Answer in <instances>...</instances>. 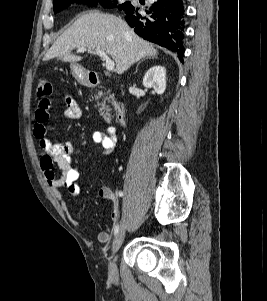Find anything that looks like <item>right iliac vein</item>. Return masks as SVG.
<instances>
[{
  "label": "right iliac vein",
  "instance_id": "right-iliac-vein-1",
  "mask_svg": "<svg viewBox=\"0 0 267 301\" xmlns=\"http://www.w3.org/2000/svg\"><path fill=\"white\" fill-rule=\"evenodd\" d=\"M125 224L124 221L121 222V225L119 227V231L115 237V240L113 242L112 245V255L110 257L109 260V264H108V272H109V276L113 279H117L118 278V269L116 266V263L113 260L114 255L118 252V250L120 249L124 238H125Z\"/></svg>",
  "mask_w": 267,
  "mask_h": 301
}]
</instances>
